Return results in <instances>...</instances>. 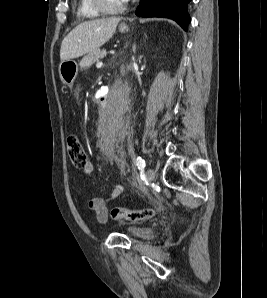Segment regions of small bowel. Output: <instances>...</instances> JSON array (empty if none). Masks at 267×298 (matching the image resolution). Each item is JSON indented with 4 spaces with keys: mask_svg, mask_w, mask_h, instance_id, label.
<instances>
[{
    "mask_svg": "<svg viewBox=\"0 0 267 298\" xmlns=\"http://www.w3.org/2000/svg\"><path fill=\"white\" fill-rule=\"evenodd\" d=\"M121 171H124V167H119ZM95 171V166L92 163H88L85 167L86 174H92ZM123 192V186L116 184L111 193L106 197H94L88 201V208L95 214L99 223H106L108 221V208L107 204L116 200Z\"/></svg>",
    "mask_w": 267,
    "mask_h": 298,
    "instance_id": "obj_1",
    "label": "small bowel"
}]
</instances>
